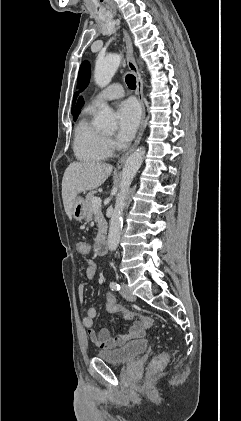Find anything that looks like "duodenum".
I'll use <instances>...</instances> for the list:
<instances>
[{"label": "duodenum", "mask_w": 241, "mask_h": 421, "mask_svg": "<svg viewBox=\"0 0 241 421\" xmlns=\"http://www.w3.org/2000/svg\"><path fill=\"white\" fill-rule=\"evenodd\" d=\"M95 251L99 255H103L107 252V240L106 237H101L98 239L95 245Z\"/></svg>", "instance_id": "1"}]
</instances>
